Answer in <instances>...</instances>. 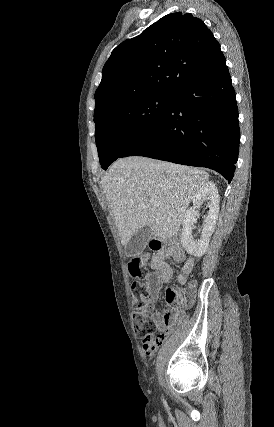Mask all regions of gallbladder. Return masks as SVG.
Here are the masks:
<instances>
[{
    "mask_svg": "<svg viewBox=\"0 0 274 427\" xmlns=\"http://www.w3.org/2000/svg\"><path fill=\"white\" fill-rule=\"evenodd\" d=\"M151 235L152 229L150 225H146V227H142V229H137L124 247L125 255H127V257H132V255L141 253L144 247H146L147 241H149Z\"/></svg>",
    "mask_w": 274,
    "mask_h": 427,
    "instance_id": "gallbladder-1",
    "label": "gallbladder"
}]
</instances>
